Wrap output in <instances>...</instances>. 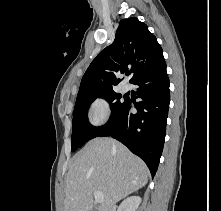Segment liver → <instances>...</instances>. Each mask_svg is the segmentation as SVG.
Masks as SVG:
<instances>
[{
  "mask_svg": "<svg viewBox=\"0 0 221 211\" xmlns=\"http://www.w3.org/2000/svg\"><path fill=\"white\" fill-rule=\"evenodd\" d=\"M146 164L120 142L95 138L75 155L66 177L64 211H93L95 191L103 193L99 211L115 204L148 182Z\"/></svg>",
  "mask_w": 221,
  "mask_h": 211,
  "instance_id": "obj_1",
  "label": "liver"
}]
</instances>
